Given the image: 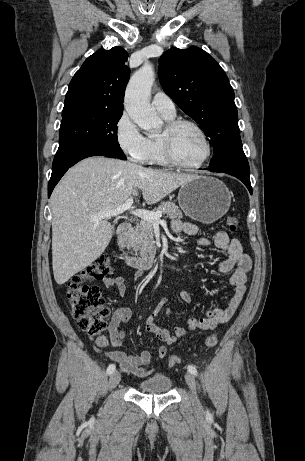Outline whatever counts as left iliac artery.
I'll return each instance as SVG.
<instances>
[{
  "instance_id": "1",
  "label": "left iliac artery",
  "mask_w": 305,
  "mask_h": 461,
  "mask_svg": "<svg viewBox=\"0 0 305 461\" xmlns=\"http://www.w3.org/2000/svg\"><path fill=\"white\" fill-rule=\"evenodd\" d=\"M188 371L192 373L193 375L197 376V370L193 365H188ZM207 414L210 415L209 411H207Z\"/></svg>"
}]
</instances>
